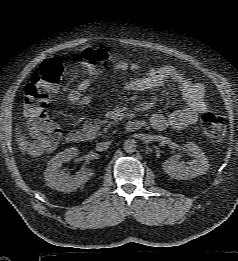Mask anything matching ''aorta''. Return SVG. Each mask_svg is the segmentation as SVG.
<instances>
[{"label": "aorta", "mask_w": 238, "mask_h": 261, "mask_svg": "<svg viewBox=\"0 0 238 261\" xmlns=\"http://www.w3.org/2000/svg\"><path fill=\"white\" fill-rule=\"evenodd\" d=\"M124 151L127 153H133L137 149V142L134 139H127L124 141Z\"/></svg>", "instance_id": "obj_1"}]
</instances>
